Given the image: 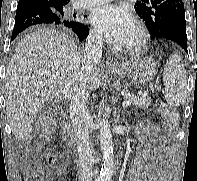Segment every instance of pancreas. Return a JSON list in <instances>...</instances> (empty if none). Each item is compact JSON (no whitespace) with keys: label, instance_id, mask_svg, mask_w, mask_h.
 Segmentation results:
<instances>
[{"label":"pancreas","instance_id":"pancreas-1","mask_svg":"<svg viewBox=\"0 0 197 181\" xmlns=\"http://www.w3.org/2000/svg\"><path fill=\"white\" fill-rule=\"evenodd\" d=\"M123 99L129 100L133 106L139 107L141 109H147L151 104L150 99L139 98L137 95L130 92H125L123 94Z\"/></svg>","mask_w":197,"mask_h":181}]
</instances>
